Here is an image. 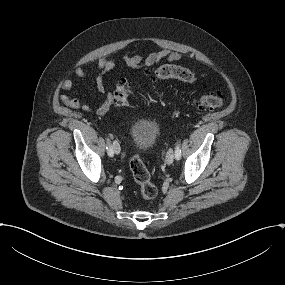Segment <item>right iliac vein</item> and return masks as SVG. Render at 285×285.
<instances>
[{"label": "right iliac vein", "mask_w": 285, "mask_h": 285, "mask_svg": "<svg viewBox=\"0 0 285 285\" xmlns=\"http://www.w3.org/2000/svg\"><path fill=\"white\" fill-rule=\"evenodd\" d=\"M112 150H113V153H115V154H119L120 153V145H119V143L117 141L113 142Z\"/></svg>", "instance_id": "obj_1"}]
</instances>
